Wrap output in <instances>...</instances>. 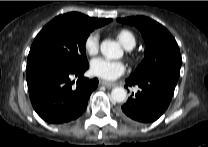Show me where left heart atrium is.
I'll use <instances>...</instances> for the list:
<instances>
[{
  "label": "left heart atrium",
  "mask_w": 208,
  "mask_h": 147,
  "mask_svg": "<svg viewBox=\"0 0 208 147\" xmlns=\"http://www.w3.org/2000/svg\"><path fill=\"white\" fill-rule=\"evenodd\" d=\"M125 69V64L122 61H113L106 58H95L90 64V71L93 75L108 81L115 80L123 75Z\"/></svg>",
  "instance_id": "1"
}]
</instances>
